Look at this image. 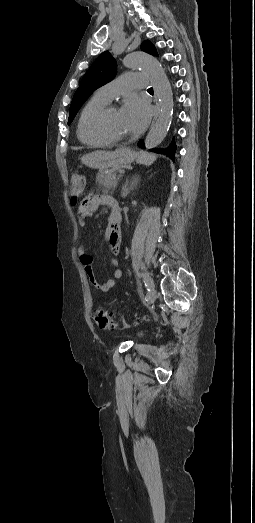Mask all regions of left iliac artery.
Here are the masks:
<instances>
[{"label":"left iliac artery","mask_w":255,"mask_h":523,"mask_svg":"<svg viewBox=\"0 0 255 523\" xmlns=\"http://www.w3.org/2000/svg\"><path fill=\"white\" fill-rule=\"evenodd\" d=\"M143 278H144V283H145V285H146V287H147V290H148L149 292L153 291V290H154V286H150V285L147 283V280H146V278H145V274L143 275Z\"/></svg>","instance_id":"left-iliac-artery-1"}]
</instances>
